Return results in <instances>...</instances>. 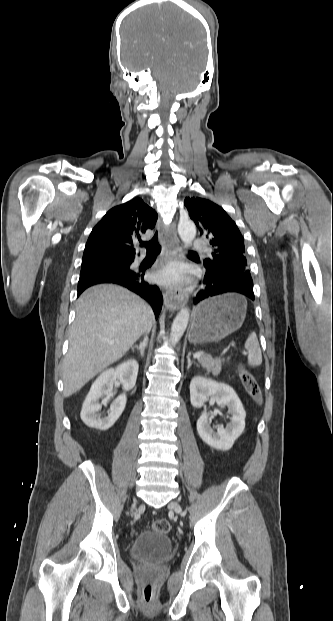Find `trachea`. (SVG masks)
<instances>
[{
  "label": "trachea",
  "mask_w": 333,
  "mask_h": 621,
  "mask_svg": "<svg viewBox=\"0 0 333 621\" xmlns=\"http://www.w3.org/2000/svg\"><path fill=\"white\" fill-rule=\"evenodd\" d=\"M141 245L147 249V254H150V255H157L161 251V246L158 242L157 233L155 234L154 238L151 241L146 242V243H141ZM190 253L196 254L193 251H190Z\"/></svg>",
  "instance_id": "obj_1"
}]
</instances>
